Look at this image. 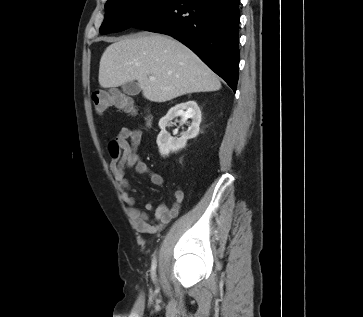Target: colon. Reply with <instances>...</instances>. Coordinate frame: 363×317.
Returning a JSON list of instances; mask_svg holds the SVG:
<instances>
[{
  "label": "colon",
  "instance_id": "colon-1",
  "mask_svg": "<svg viewBox=\"0 0 363 317\" xmlns=\"http://www.w3.org/2000/svg\"><path fill=\"white\" fill-rule=\"evenodd\" d=\"M91 102L93 109L98 114H103L110 107H116L128 113H133L135 111L132 99L117 91H94L91 96ZM108 148L113 158L116 159L120 156L121 146L118 140L111 141Z\"/></svg>",
  "mask_w": 363,
  "mask_h": 317
}]
</instances>
